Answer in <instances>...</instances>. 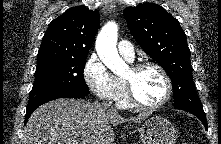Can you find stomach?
I'll return each mask as SVG.
<instances>
[{"instance_id":"stomach-1","label":"stomach","mask_w":221,"mask_h":144,"mask_svg":"<svg viewBox=\"0 0 221 144\" xmlns=\"http://www.w3.org/2000/svg\"><path fill=\"white\" fill-rule=\"evenodd\" d=\"M143 144H174L177 132L172 123L162 116H153L137 129Z\"/></svg>"}]
</instances>
